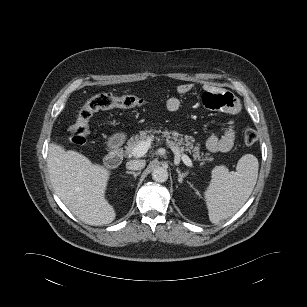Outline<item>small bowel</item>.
Segmentation results:
<instances>
[{"instance_id": "c3829d8e", "label": "small bowel", "mask_w": 307, "mask_h": 307, "mask_svg": "<svg viewBox=\"0 0 307 307\" xmlns=\"http://www.w3.org/2000/svg\"><path fill=\"white\" fill-rule=\"evenodd\" d=\"M203 89L202 102L207 108L213 110L224 109L231 114L237 113L238 103L232 94L224 92L222 89L210 84H206ZM192 90L193 85L190 83L178 85L176 88V95L170 97L166 101V109L169 112H176L181 106V98L189 94ZM235 137L236 123L233 119H230L224 134H212L208 138L206 146L208 150L213 153L229 152L234 146Z\"/></svg>"}]
</instances>
